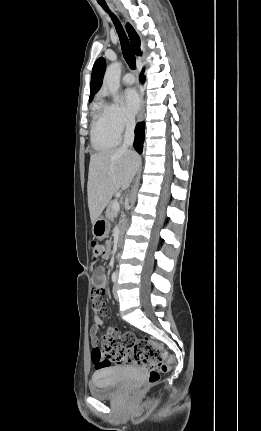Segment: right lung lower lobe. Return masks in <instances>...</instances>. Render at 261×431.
Listing matches in <instances>:
<instances>
[{
	"label": "right lung lower lobe",
	"mask_w": 261,
	"mask_h": 431,
	"mask_svg": "<svg viewBox=\"0 0 261 431\" xmlns=\"http://www.w3.org/2000/svg\"><path fill=\"white\" fill-rule=\"evenodd\" d=\"M141 80H144L143 71L141 73ZM144 122H140L136 125L135 128V140H134V148L139 152L142 153L143 150V142H144Z\"/></svg>",
	"instance_id": "obj_1"
}]
</instances>
